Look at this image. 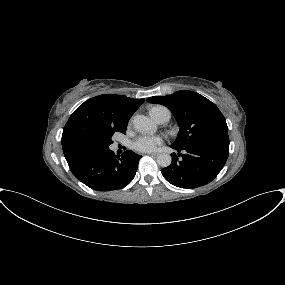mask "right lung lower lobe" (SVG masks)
<instances>
[{
    "label": "right lung lower lobe",
    "mask_w": 285,
    "mask_h": 285,
    "mask_svg": "<svg viewBox=\"0 0 285 285\" xmlns=\"http://www.w3.org/2000/svg\"><path fill=\"white\" fill-rule=\"evenodd\" d=\"M141 155L131 150L121 157L108 148L91 147L76 152L67 163L73 175L96 191L118 190L128 185L138 169Z\"/></svg>",
    "instance_id": "98d812e1"
}]
</instances>
